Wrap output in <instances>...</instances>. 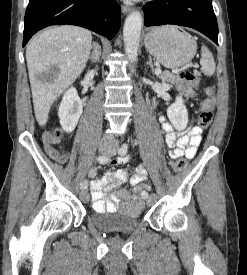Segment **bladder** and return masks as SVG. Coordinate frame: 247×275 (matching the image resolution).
<instances>
[{"label": "bladder", "mask_w": 247, "mask_h": 275, "mask_svg": "<svg viewBox=\"0 0 247 275\" xmlns=\"http://www.w3.org/2000/svg\"><path fill=\"white\" fill-rule=\"evenodd\" d=\"M98 228L109 232L128 233L139 225V215H126L119 212L97 211L90 217Z\"/></svg>", "instance_id": "1"}]
</instances>
